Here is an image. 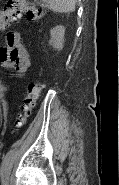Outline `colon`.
<instances>
[{
    "label": "colon",
    "instance_id": "obj_1",
    "mask_svg": "<svg viewBox=\"0 0 119 185\" xmlns=\"http://www.w3.org/2000/svg\"><path fill=\"white\" fill-rule=\"evenodd\" d=\"M26 16L28 20H36L40 18L41 11L33 6L28 5L25 0H8L6 6L1 12L0 27L5 29L14 21ZM42 85L39 83H31L28 86L27 95L24 98L21 113L15 122V131L21 129L27 122L32 110L40 97Z\"/></svg>",
    "mask_w": 119,
    "mask_h": 185
}]
</instances>
